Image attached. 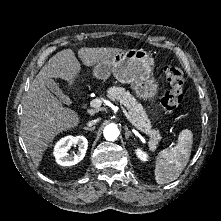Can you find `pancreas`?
I'll return each mask as SVG.
<instances>
[{
    "instance_id": "1",
    "label": "pancreas",
    "mask_w": 221,
    "mask_h": 221,
    "mask_svg": "<svg viewBox=\"0 0 221 221\" xmlns=\"http://www.w3.org/2000/svg\"><path fill=\"white\" fill-rule=\"evenodd\" d=\"M107 97L113 101H119L127 108L128 113L135 124L152 136L150 147L154 149L160 139L159 131L152 130L151 122L148 119L147 113L135 97L130 94L129 91H126L125 88L116 86L108 89Z\"/></svg>"
}]
</instances>
